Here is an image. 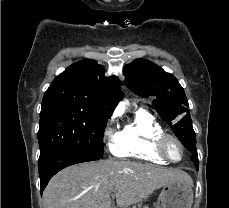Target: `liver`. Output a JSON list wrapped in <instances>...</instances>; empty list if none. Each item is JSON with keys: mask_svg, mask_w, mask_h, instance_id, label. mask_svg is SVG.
I'll list each match as a JSON object with an SVG mask.
<instances>
[{"mask_svg": "<svg viewBox=\"0 0 229 208\" xmlns=\"http://www.w3.org/2000/svg\"><path fill=\"white\" fill-rule=\"evenodd\" d=\"M172 182L193 186L183 170L100 160L65 168L50 180L43 198L47 208H111L109 194L115 192L118 208H129Z\"/></svg>", "mask_w": 229, "mask_h": 208, "instance_id": "6515ba94", "label": "liver"}]
</instances>
